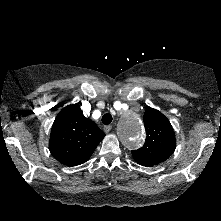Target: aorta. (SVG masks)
<instances>
[{
	"mask_svg": "<svg viewBox=\"0 0 221 221\" xmlns=\"http://www.w3.org/2000/svg\"><path fill=\"white\" fill-rule=\"evenodd\" d=\"M118 135L127 148L139 147L143 143L145 135L141 119L135 114L124 118L120 123Z\"/></svg>",
	"mask_w": 221,
	"mask_h": 221,
	"instance_id": "obj_1",
	"label": "aorta"
}]
</instances>
